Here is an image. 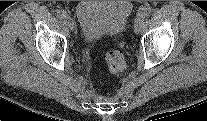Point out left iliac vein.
Returning <instances> with one entry per match:
<instances>
[{"instance_id":"1","label":"left iliac vein","mask_w":207,"mask_h":121,"mask_svg":"<svg viewBox=\"0 0 207 121\" xmlns=\"http://www.w3.org/2000/svg\"><path fill=\"white\" fill-rule=\"evenodd\" d=\"M142 22H143V17L141 15H138L136 17V19L134 21V25H133L135 33H139Z\"/></svg>"}]
</instances>
